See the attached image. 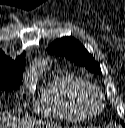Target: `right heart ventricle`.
<instances>
[{
  "mask_svg": "<svg viewBox=\"0 0 125 128\" xmlns=\"http://www.w3.org/2000/svg\"><path fill=\"white\" fill-rule=\"evenodd\" d=\"M83 81L73 74L55 72L35 101L36 111L68 121H80L91 114L82 101Z\"/></svg>",
  "mask_w": 125,
  "mask_h": 128,
  "instance_id": "e07e8e85",
  "label": "right heart ventricle"
}]
</instances>
